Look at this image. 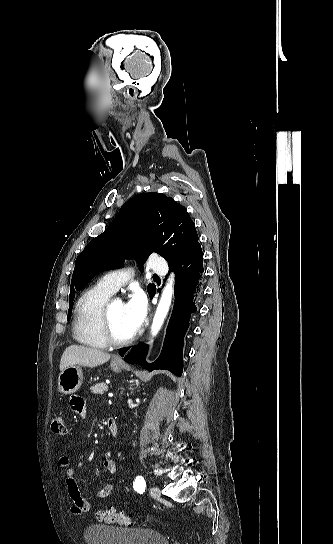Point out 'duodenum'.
I'll return each instance as SVG.
<instances>
[{
    "label": "duodenum",
    "mask_w": 333,
    "mask_h": 544,
    "mask_svg": "<svg viewBox=\"0 0 333 544\" xmlns=\"http://www.w3.org/2000/svg\"><path fill=\"white\" fill-rule=\"evenodd\" d=\"M107 428H108V431H109V434L111 436H115L116 433H117V429L114 425V422H113V419H108L107 421Z\"/></svg>",
    "instance_id": "obj_1"
}]
</instances>
